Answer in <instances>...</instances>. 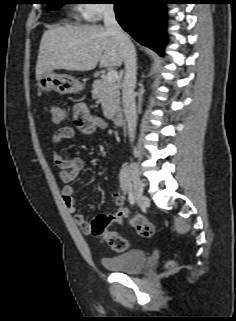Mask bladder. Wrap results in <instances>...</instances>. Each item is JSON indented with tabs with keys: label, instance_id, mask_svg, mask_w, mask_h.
Segmentation results:
<instances>
[{
	"label": "bladder",
	"instance_id": "obj_1",
	"mask_svg": "<svg viewBox=\"0 0 236 321\" xmlns=\"http://www.w3.org/2000/svg\"><path fill=\"white\" fill-rule=\"evenodd\" d=\"M147 260L148 255L144 250L132 249L119 255L103 257L102 264L115 272L136 273L145 267Z\"/></svg>",
	"mask_w": 236,
	"mask_h": 321
}]
</instances>
